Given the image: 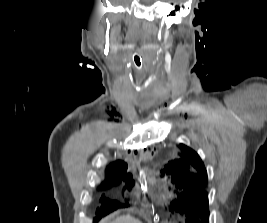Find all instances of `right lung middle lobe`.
Wrapping results in <instances>:
<instances>
[{"label": "right lung middle lobe", "instance_id": "dd1d6c3e", "mask_svg": "<svg viewBox=\"0 0 267 223\" xmlns=\"http://www.w3.org/2000/svg\"><path fill=\"white\" fill-rule=\"evenodd\" d=\"M118 178H110V179H107L105 183H103V187H109L111 185H114L116 182H117ZM102 206H101V210L97 211L98 213V216H102V215H105L107 214L108 212L114 210V209H117L119 206H120V203L117 202V201H110L109 199H105V198H102Z\"/></svg>", "mask_w": 267, "mask_h": 223}]
</instances>
